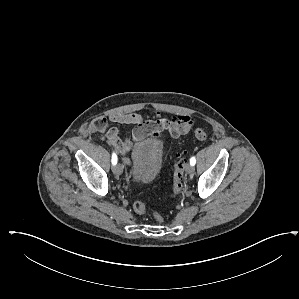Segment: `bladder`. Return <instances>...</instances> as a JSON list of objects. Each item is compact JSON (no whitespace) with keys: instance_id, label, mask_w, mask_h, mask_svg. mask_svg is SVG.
<instances>
[{"instance_id":"31cf9c89","label":"bladder","mask_w":299,"mask_h":299,"mask_svg":"<svg viewBox=\"0 0 299 299\" xmlns=\"http://www.w3.org/2000/svg\"><path fill=\"white\" fill-rule=\"evenodd\" d=\"M131 177L134 182L146 184L152 182L162 163V150L153 141H144L134 146L131 153Z\"/></svg>"}]
</instances>
